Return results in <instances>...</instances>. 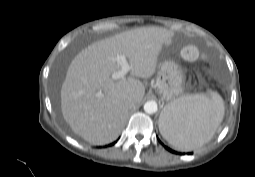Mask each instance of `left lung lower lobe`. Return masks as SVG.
<instances>
[{
  "mask_svg": "<svg viewBox=\"0 0 255 177\" xmlns=\"http://www.w3.org/2000/svg\"><path fill=\"white\" fill-rule=\"evenodd\" d=\"M165 147V149H167L168 151H170L171 153H175V154H177L178 152L177 151H175V150H173V149H171V148H169V147H167V146H164ZM189 154V153H188Z\"/></svg>",
  "mask_w": 255,
  "mask_h": 177,
  "instance_id": "left-lung-lower-lobe-1",
  "label": "left lung lower lobe"
}]
</instances>
